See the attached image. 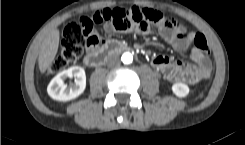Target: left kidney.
<instances>
[{
    "mask_svg": "<svg viewBox=\"0 0 245 145\" xmlns=\"http://www.w3.org/2000/svg\"><path fill=\"white\" fill-rule=\"evenodd\" d=\"M172 91L176 96L182 98L187 96L190 90L189 87L184 83H175L172 85Z\"/></svg>",
    "mask_w": 245,
    "mask_h": 145,
    "instance_id": "5707ae66",
    "label": "left kidney"
}]
</instances>
